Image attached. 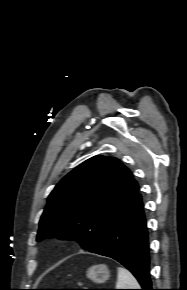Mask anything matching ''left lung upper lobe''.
Returning a JSON list of instances; mask_svg holds the SVG:
<instances>
[{
  "label": "left lung upper lobe",
  "instance_id": "obj_1",
  "mask_svg": "<svg viewBox=\"0 0 187 290\" xmlns=\"http://www.w3.org/2000/svg\"><path fill=\"white\" fill-rule=\"evenodd\" d=\"M138 189L130 170L117 158L98 155L86 160L49 195L37 241L76 240L91 251L124 214Z\"/></svg>",
  "mask_w": 187,
  "mask_h": 290
}]
</instances>
